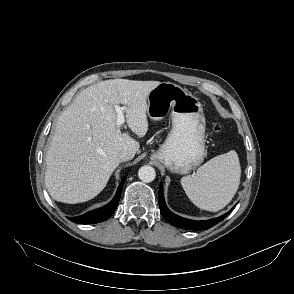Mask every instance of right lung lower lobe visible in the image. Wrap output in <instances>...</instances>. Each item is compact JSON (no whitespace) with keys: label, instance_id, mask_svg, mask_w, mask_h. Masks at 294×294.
<instances>
[{"label":"right lung lower lobe","instance_id":"98d812e1","mask_svg":"<svg viewBox=\"0 0 294 294\" xmlns=\"http://www.w3.org/2000/svg\"><path fill=\"white\" fill-rule=\"evenodd\" d=\"M126 178H123L121 184L118 187L117 193L114 197V199L107 204L104 207H101L99 209L90 211L84 215L78 216V217H69L68 219L79 224H92V223H98L101 221H104L108 219L112 213L115 211L122 192L123 184L125 182Z\"/></svg>","mask_w":294,"mask_h":294}]
</instances>
